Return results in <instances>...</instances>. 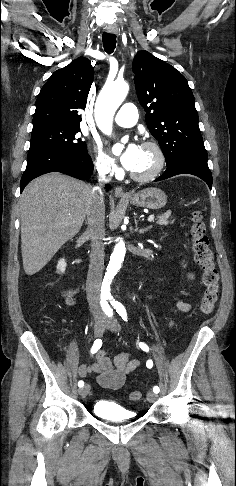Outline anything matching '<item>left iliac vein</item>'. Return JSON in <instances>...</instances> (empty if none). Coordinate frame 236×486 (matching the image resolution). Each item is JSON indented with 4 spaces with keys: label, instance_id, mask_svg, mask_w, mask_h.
<instances>
[{
    "label": "left iliac vein",
    "instance_id": "1",
    "mask_svg": "<svg viewBox=\"0 0 236 486\" xmlns=\"http://www.w3.org/2000/svg\"><path fill=\"white\" fill-rule=\"evenodd\" d=\"M106 327H107V329H109L110 331H113V332H119L120 331V325L115 318L107 320ZM157 398H158V396L155 392L149 391L147 393V400L150 403H154L157 400Z\"/></svg>",
    "mask_w": 236,
    "mask_h": 486
}]
</instances>
